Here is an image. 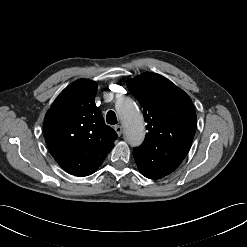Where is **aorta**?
<instances>
[{"label":"aorta","mask_w":247,"mask_h":247,"mask_svg":"<svg viewBox=\"0 0 247 247\" xmlns=\"http://www.w3.org/2000/svg\"><path fill=\"white\" fill-rule=\"evenodd\" d=\"M118 114L124 126V136L131 146H138L145 137V125L142 114L135 102L123 98L116 104Z\"/></svg>","instance_id":"762f6f07"}]
</instances>
